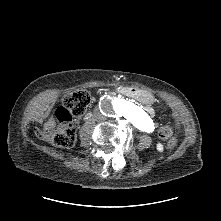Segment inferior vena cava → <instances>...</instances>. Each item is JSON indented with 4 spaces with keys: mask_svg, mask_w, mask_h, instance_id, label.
Here are the masks:
<instances>
[{
    "mask_svg": "<svg viewBox=\"0 0 221 221\" xmlns=\"http://www.w3.org/2000/svg\"><path fill=\"white\" fill-rule=\"evenodd\" d=\"M97 116H98L99 119H102V120L106 118V117H105L104 115H102L101 113H99Z\"/></svg>",
    "mask_w": 221,
    "mask_h": 221,
    "instance_id": "inferior-vena-cava-1",
    "label": "inferior vena cava"
}]
</instances>
